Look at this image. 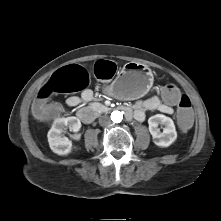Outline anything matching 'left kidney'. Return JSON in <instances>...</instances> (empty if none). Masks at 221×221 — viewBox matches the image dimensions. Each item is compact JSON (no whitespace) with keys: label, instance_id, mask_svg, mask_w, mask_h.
I'll return each instance as SVG.
<instances>
[{"label":"left kidney","instance_id":"5707ae66","mask_svg":"<svg viewBox=\"0 0 221 221\" xmlns=\"http://www.w3.org/2000/svg\"><path fill=\"white\" fill-rule=\"evenodd\" d=\"M148 124L153 141L157 146L168 147L176 140L177 132L171 118L162 114H156L148 119ZM159 124L164 126L163 132L158 128Z\"/></svg>","mask_w":221,"mask_h":221}]
</instances>
